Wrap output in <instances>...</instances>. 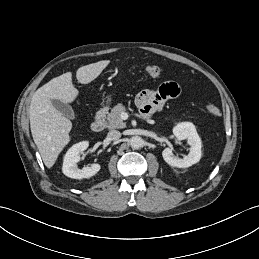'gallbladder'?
<instances>
[{
  "mask_svg": "<svg viewBox=\"0 0 259 259\" xmlns=\"http://www.w3.org/2000/svg\"><path fill=\"white\" fill-rule=\"evenodd\" d=\"M53 106L60 111L64 116L74 120L76 118L74 110L70 105L59 100H52Z\"/></svg>",
  "mask_w": 259,
  "mask_h": 259,
  "instance_id": "1",
  "label": "gallbladder"
}]
</instances>
